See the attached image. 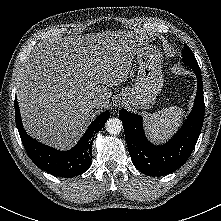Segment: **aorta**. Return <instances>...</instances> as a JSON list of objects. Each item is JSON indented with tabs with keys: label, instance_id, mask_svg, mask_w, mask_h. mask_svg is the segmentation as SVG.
I'll return each mask as SVG.
<instances>
[{
	"label": "aorta",
	"instance_id": "obj_1",
	"mask_svg": "<svg viewBox=\"0 0 221 221\" xmlns=\"http://www.w3.org/2000/svg\"><path fill=\"white\" fill-rule=\"evenodd\" d=\"M105 127L107 132L112 135L119 134L123 128L122 122L118 118H109L106 122Z\"/></svg>",
	"mask_w": 221,
	"mask_h": 221
}]
</instances>
